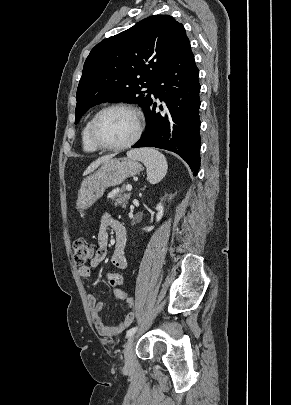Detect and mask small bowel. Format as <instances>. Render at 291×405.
Returning <instances> with one entry per match:
<instances>
[{"mask_svg":"<svg viewBox=\"0 0 291 405\" xmlns=\"http://www.w3.org/2000/svg\"><path fill=\"white\" fill-rule=\"evenodd\" d=\"M112 229L115 235V248L111 256L112 264L118 269L127 267V258L125 255L126 229L114 219L110 214L105 213L100 220V228L97 236L98 249L88 265L79 267L78 273L82 277H90L93 270L98 267L107 256V246L109 242L108 230ZM115 295L126 302L129 307L134 305V299L118 287H114ZM88 303L90 305L91 318L99 335L103 337H113L125 331L134 320V313H127L125 318L117 325L106 326L101 318V312L104 309L103 302L96 299L93 294H88Z\"/></svg>","mask_w":291,"mask_h":405,"instance_id":"small-bowel-1","label":"small bowel"}]
</instances>
